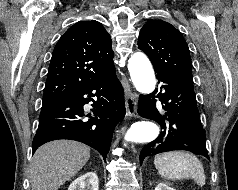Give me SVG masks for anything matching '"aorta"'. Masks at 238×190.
Masks as SVG:
<instances>
[{
	"instance_id": "obj_1",
	"label": "aorta",
	"mask_w": 238,
	"mask_h": 190,
	"mask_svg": "<svg viewBox=\"0 0 238 190\" xmlns=\"http://www.w3.org/2000/svg\"><path fill=\"white\" fill-rule=\"evenodd\" d=\"M128 70L134 87L142 94H150L155 88V75L149 59L143 53L133 54L128 61ZM159 135L158 126L149 120L135 122L127 131L124 140L131 143H149Z\"/></svg>"
}]
</instances>
